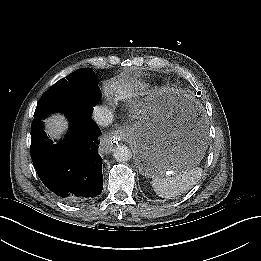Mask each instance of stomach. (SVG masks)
I'll list each match as a JSON object with an SVG mask.
<instances>
[{"label": "stomach", "instance_id": "0dacf381", "mask_svg": "<svg viewBox=\"0 0 261 261\" xmlns=\"http://www.w3.org/2000/svg\"><path fill=\"white\" fill-rule=\"evenodd\" d=\"M186 94L162 89L150 98L138 122L128 130L139 171L150 178L169 170L181 172L196 166L204 155V143L187 131Z\"/></svg>", "mask_w": 261, "mask_h": 261}]
</instances>
